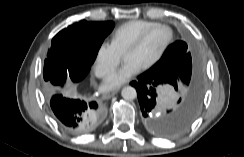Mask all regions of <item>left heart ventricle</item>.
<instances>
[{"label": "left heart ventricle", "mask_w": 244, "mask_h": 157, "mask_svg": "<svg viewBox=\"0 0 244 157\" xmlns=\"http://www.w3.org/2000/svg\"><path fill=\"white\" fill-rule=\"evenodd\" d=\"M168 32L165 29H156L151 32L140 47L127 52L124 55L125 60H131L142 68L152 61L161 51L168 39Z\"/></svg>", "instance_id": "b2bd125f"}]
</instances>
